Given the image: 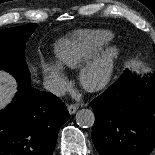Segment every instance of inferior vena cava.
<instances>
[{"label":"inferior vena cava","mask_w":155,"mask_h":155,"mask_svg":"<svg viewBox=\"0 0 155 155\" xmlns=\"http://www.w3.org/2000/svg\"><path fill=\"white\" fill-rule=\"evenodd\" d=\"M44 89L48 92L55 94L58 97H61L65 94L64 85L56 80H46L43 83Z\"/></svg>","instance_id":"obj_1"}]
</instances>
